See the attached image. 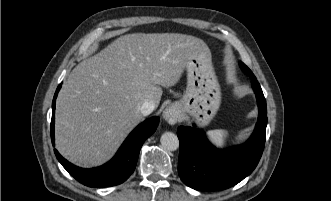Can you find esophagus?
Returning <instances> with one entry per match:
<instances>
[{"label":"esophagus","instance_id":"34e87169","mask_svg":"<svg viewBox=\"0 0 331 201\" xmlns=\"http://www.w3.org/2000/svg\"><path fill=\"white\" fill-rule=\"evenodd\" d=\"M163 119L168 122L171 125H174L180 120V111L175 105H170L168 106L164 111H163Z\"/></svg>","mask_w":331,"mask_h":201}]
</instances>
